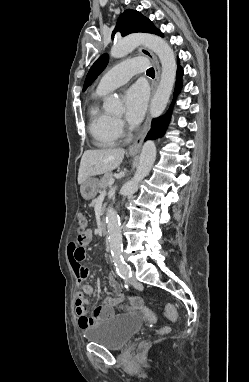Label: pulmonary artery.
Segmentation results:
<instances>
[{"mask_svg": "<svg viewBox=\"0 0 249 382\" xmlns=\"http://www.w3.org/2000/svg\"><path fill=\"white\" fill-rule=\"evenodd\" d=\"M147 67V60L141 57L120 62L101 78L97 90L108 93L125 84L135 73L141 72Z\"/></svg>", "mask_w": 249, "mask_h": 382, "instance_id": "obj_1", "label": "pulmonary artery"}]
</instances>
